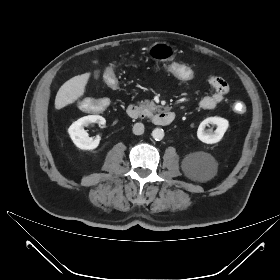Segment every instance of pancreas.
<instances>
[{
    "instance_id": "cf45deb5",
    "label": "pancreas",
    "mask_w": 280,
    "mask_h": 280,
    "mask_svg": "<svg viewBox=\"0 0 280 280\" xmlns=\"http://www.w3.org/2000/svg\"><path fill=\"white\" fill-rule=\"evenodd\" d=\"M140 108L142 109V112L145 116L152 117L153 112L157 109V106L154 102H150L149 100H145L141 102Z\"/></svg>"
}]
</instances>
